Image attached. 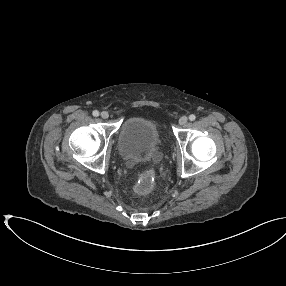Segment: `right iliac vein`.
I'll list each match as a JSON object with an SVG mask.
<instances>
[{
  "label": "right iliac vein",
  "mask_w": 286,
  "mask_h": 286,
  "mask_svg": "<svg viewBox=\"0 0 286 286\" xmlns=\"http://www.w3.org/2000/svg\"><path fill=\"white\" fill-rule=\"evenodd\" d=\"M101 117L103 119H107L109 117V113L107 111H103V112H101Z\"/></svg>",
  "instance_id": "63e3f726"
}]
</instances>
